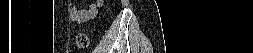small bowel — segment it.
Masks as SVG:
<instances>
[{"label":"small bowel","mask_w":253,"mask_h":53,"mask_svg":"<svg viewBox=\"0 0 253 53\" xmlns=\"http://www.w3.org/2000/svg\"><path fill=\"white\" fill-rule=\"evenodd\" d=\"M97 7L95 3L91 4L88 8L74 7L71 10V18L77 23H87L95 17Z\"/></svg>","instance_id":"obj_1"}]
</instances>
